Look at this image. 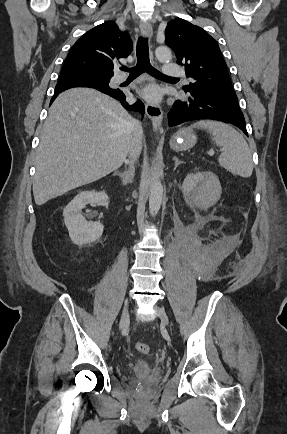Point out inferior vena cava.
Returning <instances> with one entry per match:
<instances>
[{
	"mask_svg": "<svg viewBox=\"0 0 287 434\" xmlns=\"http://www.w3.org/2000/svg\"><path fill=\"white\" fill-rule=\"evenodd\" d=\"M132 142L129 150V163L130 167L134 168V163L138 160L141 150H142V125L141 122L133 120L132 122Z\"/></svg>",
	"mask_w": 287,
	"mask_h": 434,
	"instance_id": "602c4592",
	"label": "inferior vena cava"
}]
</instances>
